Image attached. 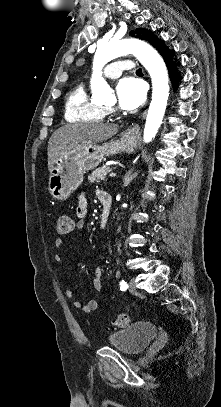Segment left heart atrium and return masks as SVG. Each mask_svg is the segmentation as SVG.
Wrapping results in <instances>:
<instances>
[{"instance_id":"39dd6f15","label":"left heart atrium","mask_w":221,"mask_h":407,"mask_svg":"<svg viewBox=\"0 0 221 407\" xmlns=\"http://www.w3.org/2000/svg\"><path fill=\"white\" fill-rule=\"evenodd\" d=\"M115 93L121 108L134 110L144 102L146 89L142 80L128 76L117 82Z\"/></svg>"}]
</instances>
